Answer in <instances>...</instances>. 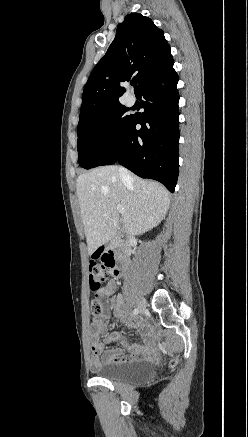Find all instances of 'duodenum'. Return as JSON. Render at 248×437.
Returning <instances> with one entry per match:
<instances>
[{
	"label": "duodenum",
	"instance_id": "1",
	"mask_svg": "<svg viewBox=\"0 0 248 437\" xmlns=\"http://www.w3.org/2000/svg\"><path fill=\"white\" fill-rule=\"evenodd\" d=\"M130 236L125 233H120L114 241L102 245L93 250L95 257H110L116 264L113 275L115 277L121 276L123 268L128 262V255L130 251Z\"/></svg>",
	"mask_w": 248,
	"mask_h": 437
}]
</instances>
